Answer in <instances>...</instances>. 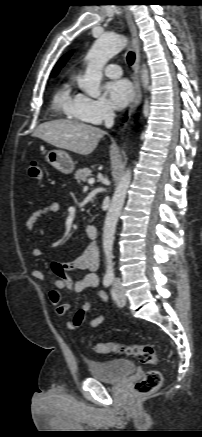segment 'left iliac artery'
Wrapping results in <instances>:
<instances>
[{"label": "left iliac artery", "mask_w": 202, "mask_h": 437, "mask_svg": "<svg viewBox=\"0 0 202 437\" xmlns=\"http://www.w3.org/2000/svg\"><path fill=\"white\" fill-rule=\"evenodd\" d=\"M111 294H112L113 299L115 300L117 298V296H116V293L114 292V290H111Z\"/></svg>", "instance_id": "obj_1"}]
</instances>
